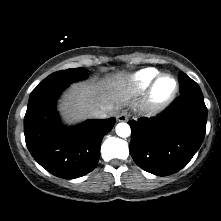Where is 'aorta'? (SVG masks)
Wrapping results in <instances>:
<instances>
[{"mask_svg":"<svg viewBox=\"0 0 221 221\" xmlns=\"http://www.w3.org/2000/svg\"><path fill=\"white\" fill-rule=\"evenodd\" d=\"M116 134L122 138H126L130 136L131 129L130 126L127 123H119L116 126Z\"/></svg>","mask_w":221,"mask_h":221,"instance_id":"aorta-1","label":"aorta"}]
</instances>
